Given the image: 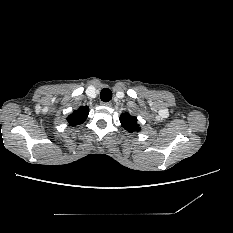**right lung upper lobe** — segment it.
<instances>
[{
	"mask_svg": "<svg viewBox=\"0 0 233 233\" xmlns=\"http://www.w3.org/2000/svg\"><path fill=\"white\" fill-rule=\"evenodd\" d=\"M89 113V108L87 106H81L78 110H75L69 117L67 121L70 126H76L82 124L87 118Z\"/></svg>",
	"mask_w": 233,
	"mask_h": 233,
	"instance_id": "1",
	"label": "right lung upper lobe"
}]
</instances>
